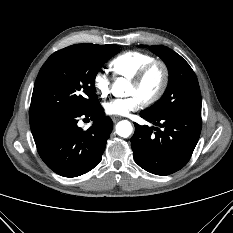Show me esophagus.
<instances>
[{"instance_id": "obj_1", "label": "esophagus", "mask_w": 233, "mask_h": 233, "mask_svg": "<svg viewBox=\"0 0 233 233\" xmlns=\"http://www.w3.org/2000/svg\"><path fill=\"white\" fill-rule=\"evenodd\" d=\"M111 118H112V121H113L114 123H116L117 121L120 120V117H118V116H112Z\"/></svg>"}]
</instances>
